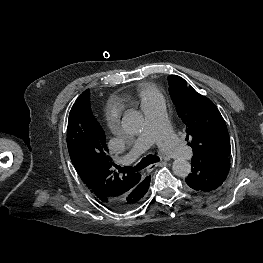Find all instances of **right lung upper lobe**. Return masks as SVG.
<instances>
[{
	"instance_id": "1",
	"label": "right lung upper lobe",
	"mask_w": 263,
	"mask_h": 263,
	"mask_svg": "<svg viewBox=\"0 0 263 263\" xmlns=\"http://www.w3.org/2000/svg\"><path fill=\"white\" fill-rule=\"evenodd\" d=\"M67 145L71 161L83 183L108 207L117 202L121 211L134 208L148 189L139 173L119 175L112 169L114 163L108 155L105 133L93 116L90 91H84L71 108Z\"/></svg>"
}]
</instances>
